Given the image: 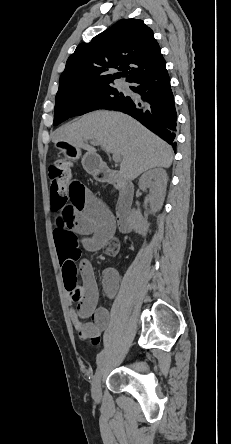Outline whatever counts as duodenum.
I'll return each mask as SVG.
<instances>
[{
	"label": "duodenum",
	"instance_id": "obj_1",
	"mask_svg": "<svg viewBox=\"0 0 231 444\" xmlns=\"http://www.w3.org/2000/svg\"><path fill=\"white\" fill-rule=\"evenodd\" d=\"M102 180L115 184L119 187L120 198L117 207V225L120 231L127 234L131 231V210L134 201V187L120 173L102 164L97 172Z\"/></svg>",
	"mask_w": 231,
	"mask_h": 444
}]
</instances>
